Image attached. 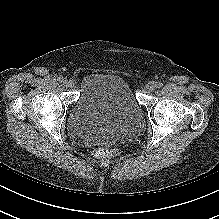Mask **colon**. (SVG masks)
I'll use <instances>...</instances> for the list:
<instances>
[{"instance_id":"1","label":"colon","mask_w":219,"mask_h":219,"mask_svg":"<svg viewBox=\"0 0 219 219\" xmlns=\"http://www.w3.org/2000/svg\"><path fill=\"white\" fill-rule=\"evenodd\" d=\"M95 156L103 159H110L116 156V151L108 147H99L94 151Z\"/></svg>"}]
</instances>
